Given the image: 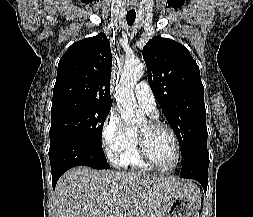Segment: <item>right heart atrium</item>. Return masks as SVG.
<instances>
[{
	"label": "right heart atrium",
	"mask_w": 253,
	"mask_h": 217,
	"mask_svg": "<svg viewBox=\"0 0 253 217\" xmlns=\"http://www.w3.org/2000/svg\"><path fill=\"white\" fill-rule=\"evenodd\" d=\"M101 139L107 157L115 163L131 139V132L117 110L112 109L106 116L101 129Z\"/></svg>",
	"instance_id": "right-heart-atrium-1"
}]
</instances>
